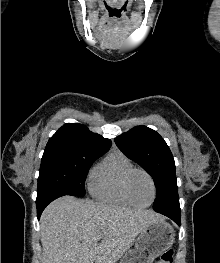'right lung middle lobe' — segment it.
I'll list each match as a JSON object with an SVG mask.
<instances>
[{
  "mask_svg": "<svg viewBox=\"0 0 220 263\" xmlns=\"http://www.w3.org/2000/svg\"><path fill=\"white\" fill-rule=\"evenodd\" d=\"M100 156L102 154L83 151H44L36 201L54 194L84 196L88 170Z\"/></svg>",
  "mask_w": 220,
  "mask_h": 263,
  "instance_id": "dd1d6c3e",
  "label": "right lung middle lobe"
}]
</instances>
